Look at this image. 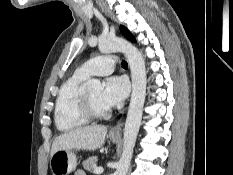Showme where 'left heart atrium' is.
Segmentation results:
<instances>
[{"instance_id": "obj_1", "label": "left heart atrium", "mask_w": 233, "mask_h": 175, "mask_svg": "<svg viewBox=\"0 0 233 175\" xmlns=\"http://www.w3.org/2000/svg\"><path fill=\"white\" fill-rule=\"evenodd\" d=\"M128 92L129 86L124 78L118 76L109 77L104 83L101 101L107 108L115 107L124 101Z\"/></svg>"}]
</instances>
